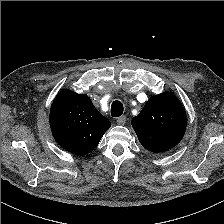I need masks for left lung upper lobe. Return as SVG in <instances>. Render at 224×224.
Instances as JSON below:
<instances>
[{
	"label": "left lung upper lobe",
	"mask_w": 224,
	"mask_h": 224,
	"mask_svg": "<svg viewBox=\"0 0 224 224\" xmlns=\"http://www.w3.org/2000/svg\"><path fill=\"white\" fill-rule=\"evenodd\" d=\"M186 112L171 92L149 98L131 124L144 148L151 152H164L175 147L186 129Z\"/></svg>",
	"instance_id": "left-lung-upper-lobe-1"
}]
</instances>
